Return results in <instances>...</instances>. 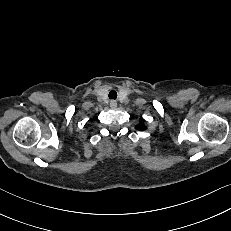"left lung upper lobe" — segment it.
Masks as SVG:
<instances>
[{
  "mask_svg": "<svg viewBox=\"0 0 231 231\" xmlns=\"http://www.w3.org/2000/svg\"><path fill=\"white\" fill-rule=\"evenodd\" d=\"M144 120H142L143 122ZM136 129L138 130H145L146 129V126L143 124V123H140L138 126H136Z\"/></svg>",
  "mask_w": 231,
  "mask_h": 231,
  "instance_id": "1",
  "label": "left lung upper lobe"
}]
</instances>
